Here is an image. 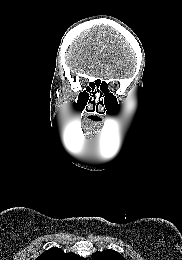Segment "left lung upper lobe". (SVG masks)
<instances>
[{"label":"left lung upper lobe","instance_id":"obj_1","mask_svg":"<svg viewBox=\"0 0 182 260\" xmlns=\"http://www.w3.org/2000/svg\"><path fill=\"white\" fill-rule=\"evenodd\" d=\"M92 260H125V258L114 250L96 251L92 254Z\"/></svg>","mask_w":182,"mask_h":260}]
</instances>
